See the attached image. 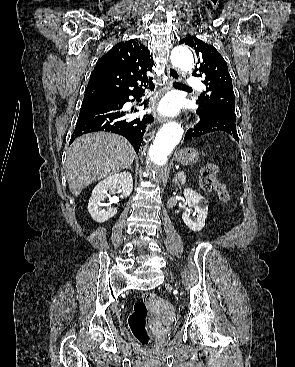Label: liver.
I'll list each match as a JSON object with an SVG mask.
<instances>
[{
    "label": "liver",
    "mask_w": 295,
    "mask_h": 367,
    "mask_svg": "<svg viewBox=\"0 0 295 367\" xmlns=\"http://www.w3.org/2000/svg\"><path fill=\"white\" fill-rule=\"evenodd\" d=\"M134 157L131 144L116 134L96 132L77 138L67 151L65 164L71 193L77 197L91 183L130 166Z\"/></svg>",
    "instance_id": "obj_1"
}]
</instances>
